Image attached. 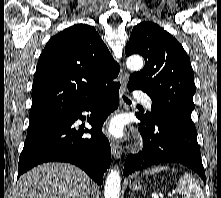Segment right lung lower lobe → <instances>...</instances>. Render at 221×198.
I'll return each mask as SVG.
<instances>
[{"instance_id":"1","label":"right lung lower lobe","mask_w":221,"mask_h":198,"mask_svg":"<svg viewBox=\"0 0 221 198\" xmlns=\"http://www.w3.org/2000/svg\"><path fill=\"white\" fill-rule=\"evenodd\" d=\"M119 88L120 84L116 83L77 110L27 132L19 157L18 177L38 164L59 161L80 167L101 185L103 174L111 164V148L102 134V125L118 107ZM83 111L92 112L91 130L73 125L77 119L84 120ZM84 133H90L91 138H82Z\"/></svg>"}]
</instances>
